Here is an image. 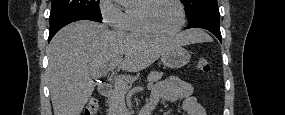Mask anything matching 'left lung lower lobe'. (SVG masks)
I'll list each match as a JSON object with an SVG mask.
<instances>
[{"mask_svg":"<svg viewBox=\"0 0 285 115\" xmlns=\"http://www.w3.org/2000/svg\"><path fill=\"white\" fill-rule=\"evenodd\" d=\"M187 28H204L213 33L221 42L220 14L218 6H208L195 12L188 18Z\"/></svg>","mask_w":285,"mask_h":115,"instance_id":"0a47b994","label":"left lung lower lobe"}]
</instances>
